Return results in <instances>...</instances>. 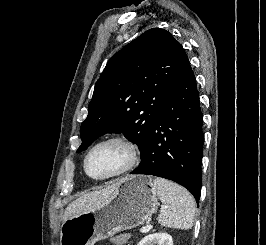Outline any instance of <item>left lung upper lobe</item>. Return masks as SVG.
<instances>
[{"label":"left lung upper lobe","mask_w":266,"mask_h":245,"mask_svg":"<svg viewBox=\"0 0 266 245\" xmlns=\"http://www.w3.org/2000/svg\"><path fill=\"white\" fill-rule=\"evenodd\" d=\"M188 61L181 44L161 28L145 31L112 56L95 84L77 152L106 133H123L142 157L153 120Z\"/></svg>","instance_id":"1"}]
</instances>
